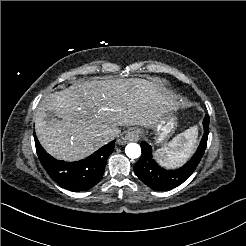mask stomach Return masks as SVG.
Returning a JSON list of instances; mask_svg holds the SVG:
<instances>
[{
  "label": "stomach",
  "instance_id": "stomach-1",
  "mask_svg": "<svg viewBox=\"0 0 246 246\" xmlns=\"http://www.w3.org/2000/svg\"><path fill=\"white\" fill-rule=\"evenodd\" d=\"M175 125V118L172 116H167L162 118L159 123L155 126L156 137L155 143L162 144L171 130L174 128Z\"/></svg>",
  "mask_w": 246,
  "mask_h": 246
}]
</instances>
